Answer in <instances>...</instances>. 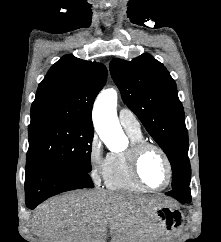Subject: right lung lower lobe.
I'll return each mask as SVG.
<instances>
[{
	"mask_svg": "<svg viewBox=\"0 0 221 242\" xmlns=\"http://www.w3.org/2000/svg\"><path fill=\"white\" fill-rule=\"evenodd\" d=\"M86 187H94L87 172L48 163L26 167L25 202L29 209L61 192Z\"/></svg>",
	"mask_w": 221,
	"mask_h": 242,
	"instance_id": "obj_1",
	"label": "right lung lower lobe"
}]
</instances>
